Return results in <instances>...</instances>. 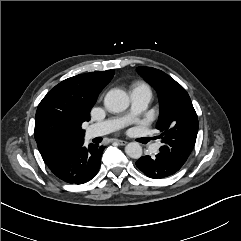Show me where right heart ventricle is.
<instances>
[{"instance_id":"1","label":"right heart ventricle","mask_w":241,"mask_h":241,"mask_svg":"<svg viewBox=\"0 0 241 241\" xmlns=\"http://www.w3.org/2000/svg\"><path fill=\"white\" fill-rule=\"evenodd\" d=\"M135 87H147V85L142 82H138V83L134 84L133 88H135Z\"/></svg>"}]
</instances>
